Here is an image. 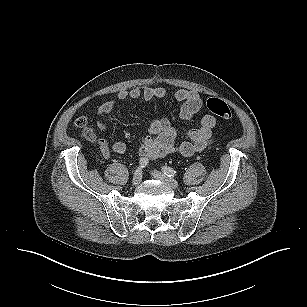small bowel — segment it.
I'll use <instances>...</instances> for the list:
<instances>
[{
  "label": "small bowel",
  "instance_id": "obj_1",
  "mask_svg": "<svg viewBox=\"0 0 307 307\" xmlns=\"http://www.w3.org/2000/svg\"><path fill=\"white\" fill-rule=\"evenodd\" d=\"M167 91L163 87H145L143 89L134 87L130 90H120L117 98L120 101L144 99L152 101L163 99ZM174 99L181 104L180 116L185 121H190L203 108V99L195 92L179 89L174 94ZM114 101H106L98 108L97 127L99 131L105 132L107 127L104 118L114 109ZM216 118L213 115H204L200 120L198 128L187 132V140L176 143L177 132L167 118H156L152 121L147 135L139 148V155L145 159H159L168 154H179L190 157L196 152L204 150L213 140V129L216 126ZM98 146L104 157L111 155V150L122 154L127 146L123 141H116L110 146L107 140L99 139Z\"/></svg>",
  "mask_w": 307,
  "mask_h": 307
}]
</instances>
